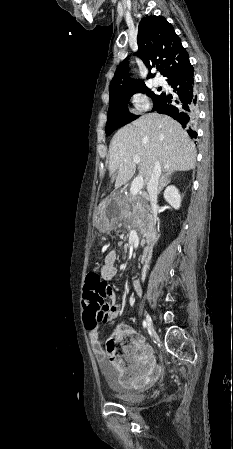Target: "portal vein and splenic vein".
I'll return each mask as SVG.
<instances>
[{"mask_svg":"<svg viewBox=\"0 0 233 449\" xmlns=\"http://www.w3.org/2000/svg\"><path fill=\"white\" fill-rule=\"evenodd\" d=\"M133 161L136 164H140L141 163V159L139 156H133ZM143 184H144V179L141 175L137 176L131 184L130 187V193L132 195L137 196L139 194V192L141 191V189L143 188Z\"/></svg>","mask_w":233,"mask_h":449,"instance_id":"portal-vein-and-splenic-vein-1","label":"portal vein and splenic vein"}]
</instances>
